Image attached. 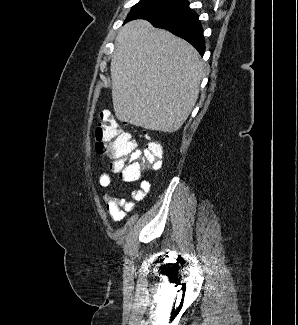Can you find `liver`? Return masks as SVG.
Masks as SVG:
<instances>
[{
    "label": "liver",
    "mask_w": 298,
    "mask_h": 325,
    "mask_svg": "<svg viewBox=\"0 0 298 325\" xmlns=\"http://www.w3.org/2000/svg\"><path fill=\"white\" fill-rule=\"evenodd\" d=\"M110 74L118 120L175 132L196 104L204 64L183 38L148 20H131L116 36Z\"/></svg>",
    "instance_id": "obj_1"
}]
</instances>
